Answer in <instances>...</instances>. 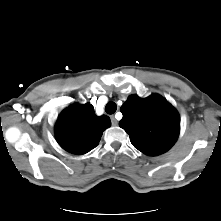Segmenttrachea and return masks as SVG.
<instances>
[{
	"instance_id": "1",
	"label": "trachea",
	"mask_w": 221,
	"mask_h": 221,
	"mask_svg": "<svg viewBox=\"0 0 221 221\" xmlns=\"http://www.w3.org/2000/svg\"><path fill=\"white\" fill-rule=\"evenodd\" d=\"M116 109H117V105L115 102H109L105 106V111L107 114H114L116 112Z\"/></svg>"
}]
</instances>
